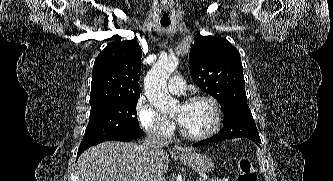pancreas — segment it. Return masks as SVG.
Listing matches in <instances>:
<instances>
[{"mask_svg": "<svg viewBox=\"0 0 333 181\" xmlns=\"http://www.w3.org/2000/svg\"><path fill=\"white\" fill-rule=\"evenodd\" d=\"M209 181H229L228 179H219V178H212V179H209Z\"/></svg>", "mask_w": 333, "mask_h": 181, "instance_id": "obj_1", "label": "pancreas"}]
</instances>
